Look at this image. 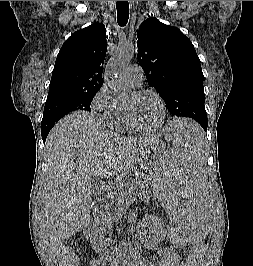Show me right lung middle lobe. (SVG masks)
<instances>
[{
  "mask_svg": "<svg viewBox=\"0 0 253 266\" xmlns=\"http://www.w3.org/2000/svg\"><path fill=\"white\" fill-rule=\"evenodd\" d=\"M98 90L60 91L48 94L41 128L53 127L55 122L72 111H91L90 105Z\"/></svg>",
  "mask_w": 253,
  "mask_h": 266,
  "instance_id": "obj_1",
  "label": "right lung middle lobe"
}]
</instances>
